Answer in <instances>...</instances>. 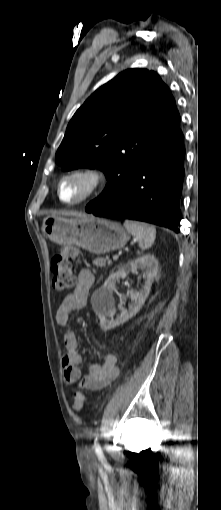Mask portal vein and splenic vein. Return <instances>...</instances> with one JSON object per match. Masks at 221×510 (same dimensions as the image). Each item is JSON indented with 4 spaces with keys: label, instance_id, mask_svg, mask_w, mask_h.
<instances>
[{
    "label": "portal vein and splenic vein",
    "instance_id": "portal-vein-and-splenic-vein-1",
    "mask_svg": "<svg viewBox=\"0 0 221 510\" xmlns=\"http://www.w3.org/2000/svg\"><path fill=\"white\" fill-rule=\"evenodd\" d=\"M117 259H118L117 255L113 257V260H117ZM111 262H112L111 260L108 261V263H111Z\"/></svg>",
    "mask_w": 221,
    "mask_h": 510
}]
</instances>
